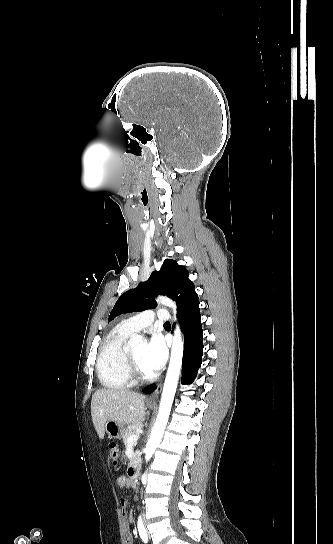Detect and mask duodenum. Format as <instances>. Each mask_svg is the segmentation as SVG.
I'll return each instance as SVG.
<instances>
[{
	"instance_id": "1",
	"label": "duodenum",
	"mask_w": 333,
	"mask_h": 544,
	"mask_svg": "<svg viewBox=\"0 0 333 544\" xmlns=\"http://www.w3.org/2000/svg\"><path fill=\"white\" fill-rule=\"evenodd\" d=\"M139 474V467L136 464H131L128 468V476L130 479H136Z\"/></svg>"
}]
</instances>
